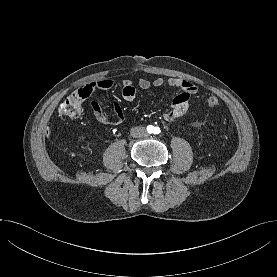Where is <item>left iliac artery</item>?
I'll use <instances>...</instances> for the list:
<instances>
[{
    "mask_svg": "<svg viewBox=\"0 0 277 277\" xmlns=\"http://www.w3.org/2000/svg\"><path fill=\"white\" fill-rule=\"evenodd\" d=\"M154 134H159L161 132L159 127H155L153 130Z\"/></svg>",
    "mask_w": 277,
    "mask_h": 277,
    "instance_id": "obj_1",
    "label": "left iliac artery"
}]
</instances>
